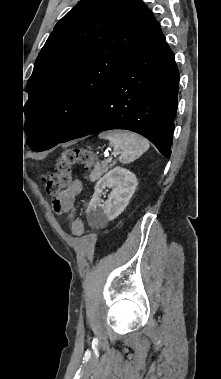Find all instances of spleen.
I'll return each mask as SVG.
<instances>
[{
  "instance_id": "obj_1",
  "label": "spleen",
  "mask_w": 221,
  "mask_h": 379,
  "mask_svg": "<svg viewBox=\"0 0 221 379\" xmlns=\"http://www.w3.org/2000/svg\"><path fill=\"white\" fill-rule=\"evenodd\" d=\"M99 137L108 140L114 150L120 153L118 160L122 164L135 161L149 149L148 140L133 132L108 131L101 133Z\"/></svg>"
}]
</instances>
